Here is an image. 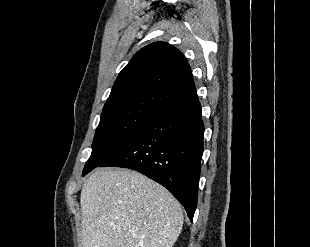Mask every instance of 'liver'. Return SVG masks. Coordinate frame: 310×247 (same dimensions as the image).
<instances>
[{
    "instance_id": "obj_1",
    "label": "liver",
    "mask_w": 310,
    "mask_h": 247,
    "mask_svg": "<svg viewBox=\"0 0 310 247\" xmlns=\"http://www.w3.org/2000/svg\"><path fill=\"white\" fill-rule=\"evenodd\" d=\"M80 204L81 247H172L183 226L176 198L133 170L94 171Z\"/></svg>"
}]
</instances>
